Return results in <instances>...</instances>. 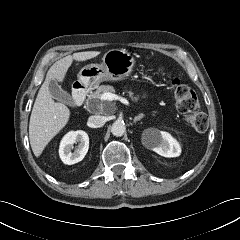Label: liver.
Segmentation results:
<instances>
[{"instance_id":"obj_1","label":"liver","mask_w":240,"mask_h":240,"mask_svg":"<svg viewBox=\"0 0 240 240\" xmlns=\"http://www.w3.org/2000/svg\"><path fill=\"white\" fill-rule=\"evenodd\" d=\"M99 54V51L74 53L58 60L48 70L37 94L29 122V140L36 157L42 154L47 144L65 127L70 117V110L65 104L52 99L48 88L49 81L63 82L73 60L86 61Z\"/></svg>"}]
</instances>
